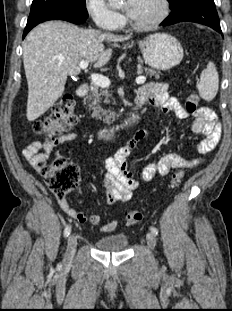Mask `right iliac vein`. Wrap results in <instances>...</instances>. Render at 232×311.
Masks as SVG:
<instances>
[{
	"label": "right iliac vein",
	"mask_w": 232,
	"mask_h": 311,
	"mask_svg": "<svg viewBox=\"0 0 232 311\" xmlns=\"http://www.w3.org/2000/svg\"><path fill=\"white\" fill-rule=\"evenodd\" d=\"M76 247H77V238L74 235H70L68 237L67 250H66V256H65L66 264H69L73 260Z\"/></svg>",
	"instance_id": "right-iliac-vein-1"
}]
</instances>
